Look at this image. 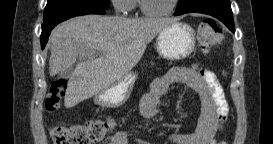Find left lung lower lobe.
Listing matches in <instances>:
<instances>
[{
    "mask_svg": "<svg viewBox=\"0 0 273 144\" xmlns=\"http://www.w3.org/2000/svg\"><path fill=\"white\" fill-rule=\"evenodd\" d=\"M190 12L211 15L222 21L230 31H235L229 0H192L189 6L181 11L176 10L174 15L178 16Z\"/></svg>",
    "mask_w": 273,
    "mask_h": 144,
    "instance_id": "obj_1",
    "label": "left lung lower lobe"
}]
</instances>
